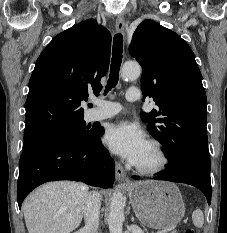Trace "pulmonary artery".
Masks as SVG:
<instances>
[{
    "label": "pulmonary artery",
    "mask_w": 227,
    "mask_h": 233,
    "mask_svg": "<svg viewBox=\"0 0 227 233\" xmlns=\"http://www.w3.org/2000/svg\"><path fill=\"white\" fill-rule=\"evenodd\" d=\"M126 99L129 102L138 101L140 99L138 90L130 88L126 93ZM95 103L97 107L90 113V119L93 121L111 118L122 110L121 104L117 102L97 99Z\"/></svg>",
    "instance_id": "pulmonary-artery-1"
}]
</instances>
